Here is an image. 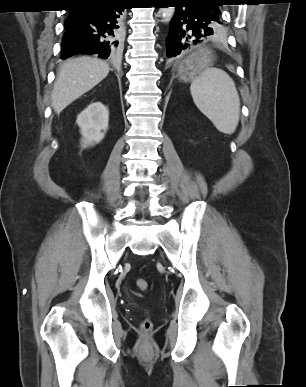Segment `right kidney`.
Returning <instances> with one entry per match:
<instances>
[{
	"instance_id": "right-kidney-1",
	"label": "right kidney",
	"mask_w": 306,
	"mask_h": 387,
	"mask_svg": "<svg viewBox=\"0 0 306 387\" xmlns=\"http://www.w3.org/2000/svg\"><path fill=\"white\" fill-rule=\"evenodd\" d=\"M109 111L101 102L91 103L77 116V124L82 135V146L99 143L106 133Z\"/></svg>"
}]
</instances>
